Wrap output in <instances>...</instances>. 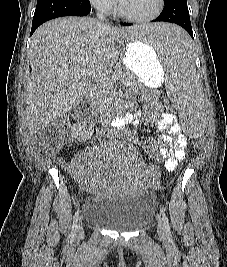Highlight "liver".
<instances>
[{
    "instance_id": "obj_1",
    "label": "liver",
    "mask_w": 227,
    "mask_h": 267,
    "mask_svg": "<svg viewBox=\"0 0 227 267\" xmlns=\"http://www.w3.org/2000/svg\"><path fill=\"white\" fill-rule=\"evenodd\" d=\"M127 33L135 30L104 26L90 17L54 19L35 31L26 90V124L31 134L80 104L91 76L76 78L74 72L103 73L112 68L119 58L116 43L127 41Z\"/></svg>"
}]
</instances>
